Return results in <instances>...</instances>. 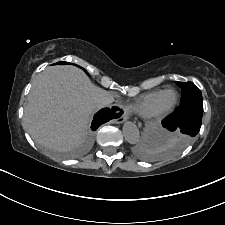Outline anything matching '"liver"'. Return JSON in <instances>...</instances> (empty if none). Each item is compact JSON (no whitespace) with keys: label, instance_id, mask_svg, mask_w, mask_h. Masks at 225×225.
<instances>
[{"label":"liver","instance_id":"6515ba94","mask_svg":"<svg viewBox=\"0 0 225 225\" xmlns=\"http://www.w3.org/2000/svg\"><path fill=\"white\" fill-rule=\"evenodd\" d=\"M112 95L74 66H52L33 82L23 124L39 144L59 152L83 143L96 102Z\"/></svg>","mask_w":225,"mask_h":225}]
</instances>
